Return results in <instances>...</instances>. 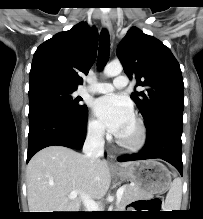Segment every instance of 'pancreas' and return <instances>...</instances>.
<instances>
[{
	"instance_id": "cf45deb5",
	"label": "pancreas",
	"mask_w": 203,
	"mask_h": 219,
	"mask_svg": "<svg viewBox=\"0 0 203 219\" xmlns=\"http://www.w3.org/2000/svg\"><path fill=\"white\" fill-rule=\"evenodd\" d=\"M124 193L120 202V207L124 208L130 202L139 199L145 198L146 194L136 186L124 185Z\"/></svg>"
}]
</instances>
